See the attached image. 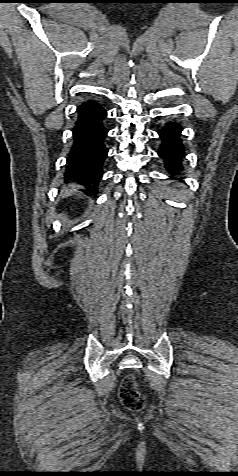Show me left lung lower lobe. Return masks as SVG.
Instances as JSON below:
<instances>
[{"label":"left lung lower lobe","mask_w":238,"mask_h":476,"mask_svg":"<svg viewBox=\"0 0 238 476\" xmlns=\"http://www.w3.org/2000/svg\"><path fill=\"white\" fill-rule=\"evenodd\" d=\"M182 127L175 121L167 122L159 131L162 141L158 155L164 160L167 171L176 173L184 169L182 162L185 155V147L181 139Z\"/></svg>","instance_id":"obj_1"}]
</instances>
